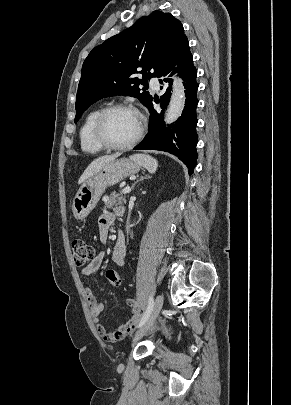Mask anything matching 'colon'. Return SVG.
Here are the masks:
<instances>
[{"instance_id":"5ec220e1","label":"colon","mask_w":291,"mask_h":405,"mask_svg":"<svg viewBox=\"0 0 291 405\" xmlns=\"http://www.w3.org/2000/svg\"><path fill=\"white\" fill-rule=\"evenodd\" d=\"M73 261L75 266L82 267L94 258V248L82 239L72 241ZM106 277L111 285L119 286L121 284V275L118 271L109 269Z\"/></svg>"}]
</instances>
